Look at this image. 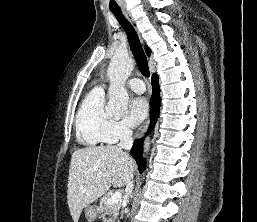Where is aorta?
<instances>
[{
    "mask_svg": "<svg viewBox=\"0 0 257 222\" xmlns=\"http://www.w3.org/2000/svg\"><path fill=\"white\" fill-rule=\"evenodd\" d=\"M134 68V62L125 51H117L110 61L107 76L110 86L109 101L106 111L112 116H119L127 112L129 96L125 89V82ZM150 142L144 143V153L149 150Z\"/></svg>",
    "mask_w": 257,
    "mask_h": 222,
    "instance_id": "1",
    "label": "aorta"
}]
</instances>
